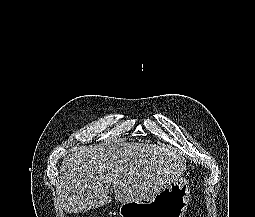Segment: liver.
<instances>
[{"label":"liver","mask_w":255,"mask_h":217,"mask_svg":"<svg viewBox=\"0 0 255 217\" xmlns=\"http://www.w3.org/2000/svg\"><path fill=\"white\" fill-rule=\"evenodd\" d=\"M186 159L172 148L143 143H108L75 148L60 166L57 202L67 213L112 201L150 199L183 174Z\"/></svg>","instance_id":"obj_1"}]
</instances>
